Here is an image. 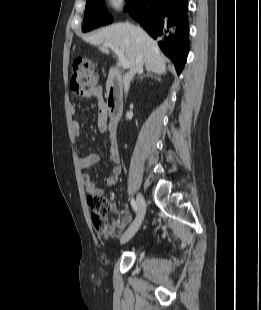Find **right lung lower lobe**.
I'll list each match as a JSON object with an SVG mask.
<instances>
[{
	"instance_id": "1",
	"label": "right lung lower lobe",
	"mask_w": 261,
	"mask_h": 310,
	"mask_svg": "<svg viewBox=\"0 0 261 310\" xmlns=\"http://www.w3.org/2000/svg\"><path fill=\"white\" fill-rule=\"evenodd\" d=\"M187 0H129L124 11L158 40L180 74L189 51Z\"/></svg>"
}]
</instances>
